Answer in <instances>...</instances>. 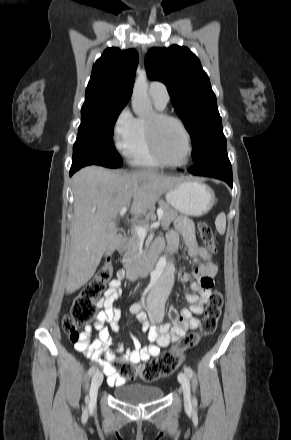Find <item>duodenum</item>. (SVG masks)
Listing matches in <instances>:
<instances>
[{
  "instance_id": "obj_1",
  "label": "duodenum",
  "mask_w": 291,
  "mask_h": 440,
  "mask_svg": "<svg viewBox=\"0 0 291 440\" xmlns=\"http://www.w3.org/2000/svg\"><path fill=\"white\" fill-rule=\"evenodd\" d=\"M115 240L117 243L120 242L122 240V235H116ZM157 260L158 252L154 249L149 250L145 253L142 260L127 269L126 277L130 280H135L148 275L154 269Z\"/></svg>"
}]
</instances>
